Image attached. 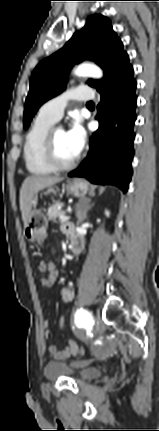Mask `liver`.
<instances>
[{
  "mask_svg": "<svg viewBox=\"0 0 159 431\" xmlns=\"http://www.w3.org/2000/svg\"><path fill=\"white\" fill-rule=\"evenodd\" d=\"M62 180L63 178L54 176H29L24 180L20 189L19 198L24 225L30 217L33 197L39 191L51 187Z\"/></svg>",
  "mask_w": 159,
  "mask_h": 431,
  "instance_id": "liver-1",
  "label": "liver"
}]
</instances>
